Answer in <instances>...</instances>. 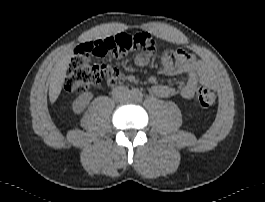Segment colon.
I'll list each match as a JSON object with an SVG mask.
<instances>
[{
	"instance_id": "1",
	"label": "colon",
	"mask_w": 265,
	"mask_h": 202,
	"mask_svg": "<svg viewBox=\"0 0 265 202\" xmlns=\"http://www.w3.org/2000/svg\"><path fill=\"white\" fill-rule=\"evenodd\" d=\"M95 46L102 54H123L127 51H139L145 56L156 52V43L148 34L135 36L118 33L100 38ZM120 70L111 63H103L86 56H74L64 78V87L70 93H79L89 86H97L119 78ZM198 103L202 108L212 107L217 99V91L213 87H200L197 92Z\"/></svg>"
}]
</instances>
